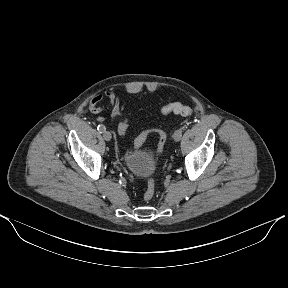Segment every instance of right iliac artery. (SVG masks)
<instances>
[{
    "mask_svg": "<svg viewBox=\"0 0 288 288\" xmlns=\"http://www.w3.org/2000/svg\"><path fill=\"white\" fill-rule=\"evenodd\" d=\"M97 130L100 132V133H103L106 131V127L102 124L98 125L97 127Z\"/></svg>",
    "mask_w": 288,
    "mask_h": 288,
    "instance_id": "82829eb1",
    "label": "right iliac artery"
}]
</instances>
